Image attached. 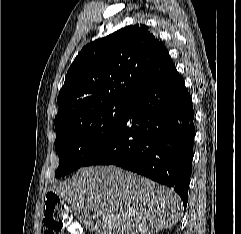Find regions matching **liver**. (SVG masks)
I'll list each match as a JSON object with an SVG mask.
<instances>
[{"label": "liver", "mask_w": 241, "mask_h": 234, "mask_svg": "<svg viewBox=\"0 0 241 234\" xmlns=\"http://www.w3.org/2000/svg\"><path fill=\"white\" fill-rule=\"evenodd\" d=\"M78 174L51 190L73 211L94 212L97 221L90 226L97 234H153L181 218L177 193L150 179L116 166L84 167Z\"/></svg>", "instance_id": "6515ba94"}]
</instances>
